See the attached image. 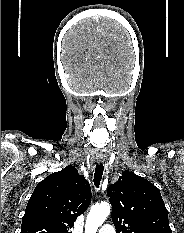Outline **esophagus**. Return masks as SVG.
<instances>
[{
	"label": "esophagus",
	"instance_id": "obj_1",
	"mask_svg": "<svg viewBox=\"0 0 184 233\" xmlns=\"http://www.w3.org/2000/svg\"><path fill=\"white\" fill-rule=\"evenodd\" d=\"M96 161H97L98 163H102V162L104 161V159H103L102 157H97V158H96Z\"/></svg>",
	"mask_w": 184,
	"mask_h": 233
}]
</instances>
